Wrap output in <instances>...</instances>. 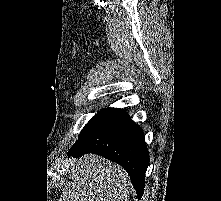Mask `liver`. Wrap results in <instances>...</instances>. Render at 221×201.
I'll use <instances>...</instances> for the list:
<instances>
[{
	"mask_svg": "<svg viewBox=\"0 0 221 201\" xmlns=\"http://www.w3.org/2000/svg\"><path fill=\"white\" fill-rule=\"evenodd\" d=\"M63 201H128L129 175L119 165L95 154L75 160ZM62 201V200H61Z\"/></svg>",
	"mask_w": 221,
	"mask_h": 201,
	"instance_id": "6515ba94",
	"label": "liver"
}]
</instances>
